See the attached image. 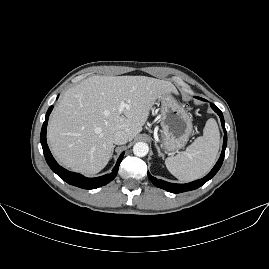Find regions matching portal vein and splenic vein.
<instances>
[{"mask_svg": "<svg viewBox=\"0 0 269 269\" xmlns=\"http://www.w3.org/2000/svg\"><path fill=\"white\" fill-rule=\"evenodd\" d=\"M129 105L125 102L120 103L119 111L122 112L125 108H128Z\"/></svg>", "mask_w": 269, "mask_h": 269, "instance_id": "portal-vein-and-splenic-vein-1", "label": "portal vein and splenic vein"}]
</instances>
